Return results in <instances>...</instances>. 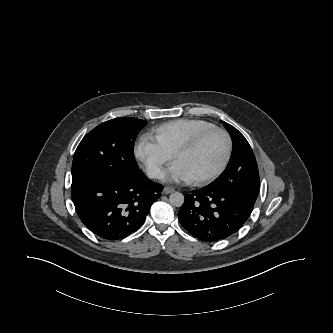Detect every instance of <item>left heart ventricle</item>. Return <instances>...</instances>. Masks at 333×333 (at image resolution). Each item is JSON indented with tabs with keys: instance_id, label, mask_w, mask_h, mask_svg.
I'll return each instance as SVG.
<instances>
[{
	"instance_id": "left-heart-ventricle-1",
	"label": "left heart ventricle",
	"mask_w": 333,
	"mask_h": 333,
	"mask_svg": "<svg viewBox=\"0 0 333 333\" xmlns=\"http://www.w3.org/2000/svg\"><path fill=\"white\" fill-rule=\"evenodd\" d=\"M226 153V141L218 132L207 136L194 150L179 156L176 163L192 178L213 173L222 163Z\"/></svg>"
}]
</instances>
